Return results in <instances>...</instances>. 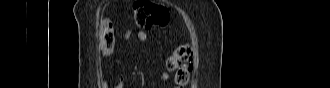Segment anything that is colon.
Masks as SVG:
<instances>
[{
    "mask_svg": "<svg viewBox=\"0 0 330 88\" xmlns=\"http://www.w3.org/2000/svg\"><path fill=\"white\" fill-rule=\"evenodd\" d=\"M133 17L137 26L141 28H153L165 26L168 21V15L165 8L147 1L139 0L133 5ZM115 46V36L112 26L106 23L101 28L100 48L105 54L112 53ZM194 58L190 46L180 45L176 47L166 62V71L174 72L175 82L178 87L185 86L193 70Z\"/></svg>",
    "mask_w": 330,
    "mask_h": 88,
    "instance_id": "colon-1",
    "label": "colon"
}]
</instances>
